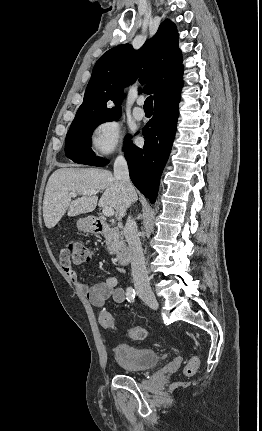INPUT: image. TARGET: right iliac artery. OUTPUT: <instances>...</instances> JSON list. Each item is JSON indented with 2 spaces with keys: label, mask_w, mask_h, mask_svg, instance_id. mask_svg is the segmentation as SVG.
I'll list each match as a JSON object with an SVG mask.
<instances>
[{
  "label": "right iliac artery",
  "mask_w": 262,
  "mask_h": 431,
  "mask_svg": "<svg viewBox=\"0 0 262 431\" xmlns=\"http://www.w3.org/2000/svg\"><path fill=\"white\" fill-rule=\"evenodd\" d=\"M135 290L132 287H128L127 288V300L129 302L133 301V299L135 298Z\"/></svg>",
  "instance_id": "82829eb1"
}]
</instances>
